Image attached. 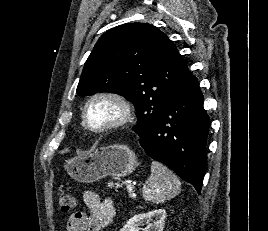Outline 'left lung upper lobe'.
Wrapping results in <instances>:
<instances>
[{"mask_svg":"<svg viewBox=\"0 0 268 231\" xmlns=\"http://www.w3.org/2000/svg\"><path fill=\"white\" fill-rule=\"evenodd\" d=\"M192 73L167 35L148 23H128L105 32L89 55L77 93H117L136 110L138 135L159 119L171 94Z\"/></svg>","mask_w":268,"mask_h":231,"instance_id":"1","label":"left lung upper lobe"}]
</instances>
